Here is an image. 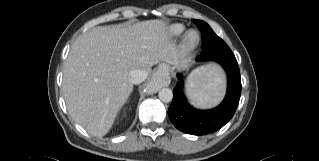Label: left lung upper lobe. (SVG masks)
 <instances>
[{
    "label": "left lung upper lobe",
    "instance_id": "obj_1",
    "mask_svg": "<svg viewBox=\"0 0 319 161\" xmlns=\"http://www.w3.org/2000/svg\"><path fill=\"white\" fill-rule=\"evenodd\" d=\"M202 33V53L197 57L199 61L235 58L228 45L218 37L211 27L201 20H193ZM210 32V34L207 33ZM212 31V32H211Z\"/></svg>",
    "mask_w": 319,
    "mask_h": 161
}]
</instances>
